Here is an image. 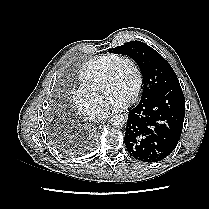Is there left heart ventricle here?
Wrapping results in <instances>:
<instances>
[{
  "label": "left heart ventricle",
  "mask_w": 209,
  "mask_h": 209,
  "mask_svg": "<svg viewBox=\"0 0 209 209\" xmlns=\"http://www.w3.org/2000/svg\"><path fill=\"white\" fill-rule=\"evenodd\" d=\"M136 76L132 66L127 62L119 64L113 79L104 88V94L108 97L117 95L129 98L135 85Z\"/></svg>",
  "instance_id": "1"
}]
</instances>
